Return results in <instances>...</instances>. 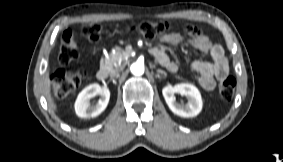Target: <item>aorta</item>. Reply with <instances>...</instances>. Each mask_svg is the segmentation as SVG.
I'll list each match as a JSON object with an SVG mask.
<instances>
[{"mask_svg": "<svg viewBox=\"0 0 283 162\" xmlns=\"http://www.w3.org/2000/svg\"><path fill=\"white\" fill-rule=\"evenodd\" d=\"M130 70L132 74L140 76L144 73V64L142 62H135L131 65Z\"/></svg>", "mask_w": 283, "mask_h": 162, "instance_id": "762f6f07", "label": "aorta"}]
</instances>
